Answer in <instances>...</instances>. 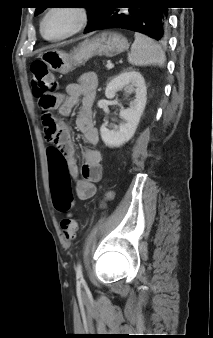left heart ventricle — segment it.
I'll return each instance as SVG.
<instances>
[{"label": "left heart ventricle", "instance_id": "obj_1", "mask_svg": "<svg viewBox=\"0 0 213 338\" xmlns=\"http://www.w3.org/2000/svg\"><path fill=\"white\" fill-rule=\"evenodd\" d=\"M76 15L67 9H58L46 19L44 33L48 37H57L69 32L76 25Z\"/></svg>", "mask_w": 213, "mask_h": 338}]
</instances>
